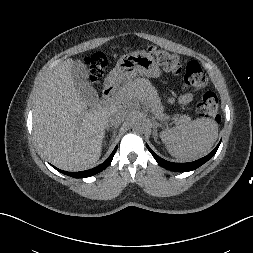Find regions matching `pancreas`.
Returning <instances> with one entry per match:
<instances>
[{"label": "pancreas", "mask_w": 253, "mask_h": 253, "mask_svg": "<svg viewBox=\"0 0 253 253\" xmlns=\"http://www.w3.org/2000/svg\"><path fill=\"white\" fill-rule=\"evenodd\" d=\"M135 95H140L159 119L164 118L163 106L161 105L160 97L150 82L143 80L129 81L123 85L117 93V97L120 100H125ZM190 120L189 116L183 115L181 117H177L176 122L187 124Z\"/></svg>", "instance_id": "1"}]
</instances>
